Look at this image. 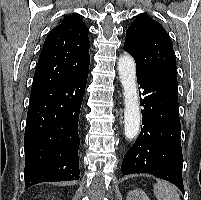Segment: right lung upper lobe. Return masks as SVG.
Listing matches in <instances>:
<instances>
[{
    "label": "right lung upper lobe",
    "instance_id": "right-lung-upper-lobe-1",
    "mask_svg": "<svg viewBox=\"0 0 201 200\" xmlns=\"http://www.w3.org/2000/svg\"><path fill=\"white\" fill-rule=\"evenodd\" d=\"M88 33L89 29L76 13L50 31L39 56L31 91L67 81L88 67Z\"/></svg>",
    "mask_w": 201,
    "mask_h": 200
}]
</instances>
